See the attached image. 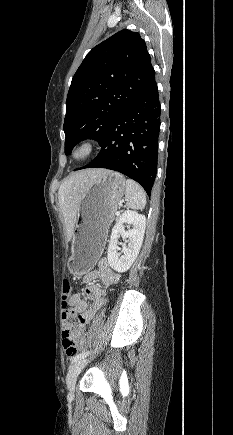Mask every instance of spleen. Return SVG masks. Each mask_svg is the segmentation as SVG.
Segmentation results:
<instances>
[{
	"mask_svg": "<svg viewBox=\"0 0 233 435\" xmlns=\"http://www.w3.org/2000/svg\"><path fill=\"white\" fill-rule=\"evenodd\" d=\"M125 197L129 208L143 209L146 205L145 191L132 179L126 180Z\"/></svg>",
	"mask_w": 233,
	"mask_h": 435,
	"instance_id": "spleen-1",
	"label": "spleen"
}]
</instances>
